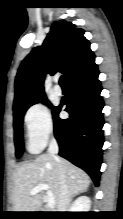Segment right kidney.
I'll use <instances>...</instances> for the list:
<instances>
[{"mask_svg": "<svg viewBox=\"0 0 123 219\" xmlns=\"http://www.w3.org/2000/svg\"><path fill=\"white\" fill-rule=\"evenodd\" d=\"M91 200L88 196H81L70 207V212H89Z\"/></svg>", "mask_w": 123, "mask_h": 219, "instance_id": "obj_1", "label": "right kidney"}]
</instances>
